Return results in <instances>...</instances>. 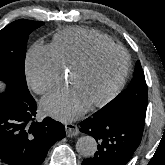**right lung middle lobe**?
I'll use <instances>...</instances> for the list:
<instances>
[{
	"mask_svg": "<svg viewBox=\"0 0 165 165\" xmlns=\"http://www.w3.org/2000/svg\"><path fill=\"white\" fill-rule=\"evenodd\" d=\"M41 21L20 19L0 31V80L29 92L25 77L26 44Z\"/></svg>",
	"mask_w": 165,
	"mask_h": 165,
	"instance_id": "right-lung-middle-lobe-1",
	"label": "right lung middle lobe"
}]
</instances>
